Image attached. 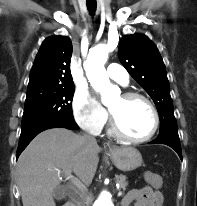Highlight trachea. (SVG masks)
I'll list each match as a JSON object with an SVG mask.
<instances>
[{
    "mask_svg": "<svg viewBox=\"0 0 197 206\" xmlns=\"http://www.w3.org/2000/svg\"><path fill=\"white\" fill-rule=\"evenodd\" d=\"M87 8L90 11L91 14H94L96 7H97V3L96 0L95 1H89L87 0L86 2Z\"/></svg>",
    "mask_w": 197,
    "mask_h": 206,
    "instance_id": "obj_1",
    "label": "trachea"
}]
</instances>
